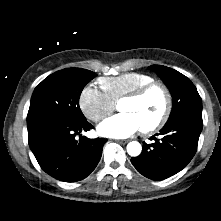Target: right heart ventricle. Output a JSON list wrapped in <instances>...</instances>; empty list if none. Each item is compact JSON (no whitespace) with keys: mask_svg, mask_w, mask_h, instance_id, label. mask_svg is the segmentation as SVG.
I'll return each mask as SVG.
<instances>
[{"mask_svg":"<svg viewBox=\"0 0 221 221\" xmlns=\"http://www.w3.org/2000/svg\"><path fill=\"white\" fill-rule=\"evenodd\" d=\"M154 81L146 73L128 72L116 77H102L98 83L102 91L115 103L126 94Z\"/></svg>","mask_w":221,"mask_h":221,"instance_id":"1","label":"right heart ventricle"}]
</instances>
